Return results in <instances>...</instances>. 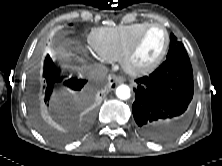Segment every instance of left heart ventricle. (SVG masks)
Wrapping results in <instances>:
<instances>
[{"label": "left heart ventricle", "instance_id": "1", "mask_svg": "<svg viewBox=\"0 0 222 166\" xmlns=\"http://www.w3.org/2000/svg\"><path fill=\"white\" fill-rule=\"evenodd\" d=\"M165 39V32L162 28L154 27L149 29L144 34L133 56L134 65L141 67L153 62L162 51Z\"/></svg>", "mask_w": 222, "mask_h": 166}]
</instances>
